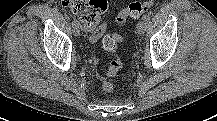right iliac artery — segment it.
<instances>
[{
  "mask_svg": "<svg viewBox=\"0 0 217 121\" xmlns=\"http://www.w3.org/2000/svg\"><path fill=\"white\" fill-rule=\"evenodd\" d=\"M77 25H79V23L76 20H73L72 21V26H77Z\"/></svg>",
  "mask_w": 217,
  "mask_h": 121,
  "instance_id": "right-iliac-artery-1",
  "label": "right iliac artery"
}]
</instances>
